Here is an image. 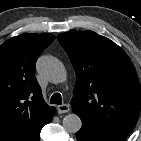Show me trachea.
<instances>
[{"instance_id": "3493384b", "label": "trachea", "mask_w": 141, "mask_h": 141, "mask_svg": "<svg viewBox=\"0 0 141 141\" xmlns=\"http://www.w3.org/2000/svg\"><path fill=\"white\" fill-rule=\"evenodd\" d=\"M50 103L51 104H59L60 105L62 103V99H61L60 93L53 94L51 99H50Z\"/></svg>"}]
</instances>
